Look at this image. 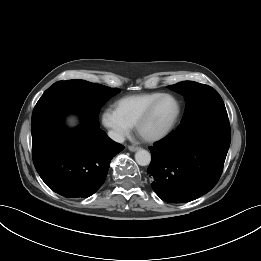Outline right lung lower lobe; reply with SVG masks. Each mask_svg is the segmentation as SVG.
Returning a JSON list of instances; mask_svg holds the SVG:
<instances>
[{
  "label": "right lung lower lobe",
  "mask_w": 261,
  "mask_h": 261,
  "mask_svg": "<svg viewBox=\"0 0 261 261\" xmlns=\"http://www.w3.org/2000/svg\"><path fill=\"white\" fill-rule=\"evenodd\" d=\"M69 110L54 109L32 119L34 166L54 192L68 198H87L104 183L112 158L124 146L98 128L99 122L78 112L83 124L68 130L63 124Z\"/></svg>",
  "instance_id": "right-lung-lower-lobe-1"
}]
</instances>
